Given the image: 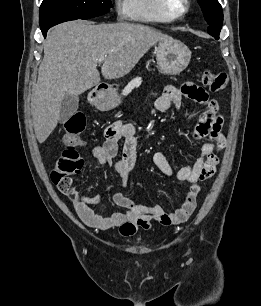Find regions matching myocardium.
Segmentation results:
<instances>
[{
    "instance_id": "obj_1",
    "label": "myocardium",
    "mask_w": 261,
    "mask_h": 306,
    "mask_svg": "<svg viewBox=\"0 0 261 306\" xmlns=\"http://www.w3.org/2000/svg\"><path fill=\"white\" fill-rule=\"evenodd\" d=\"M181 7L174 9L171 5V0H160V6L163 12L171 19H178L188 13L191 3L190 0H180Z\"/></svg>"
}]
</instances>
